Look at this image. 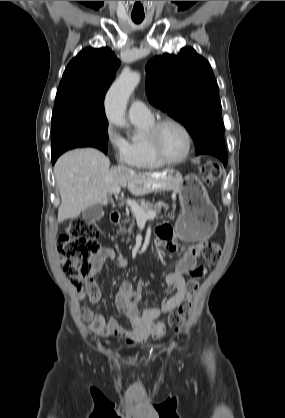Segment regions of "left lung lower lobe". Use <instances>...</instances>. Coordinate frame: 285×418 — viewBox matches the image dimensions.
<instances>
[{
  "label": "left lung lower lobe",
  "mask_w": 285,
  "mask_h": 418,
  "mask_svg": "<svg viewBox=\"0 0 285 418\" xmlns=\"http://www.w3.org/2000/svg\"><path fill=\"white\" fill-rule=\"evenodd\" d=\"M220 155H221V152H220V153H217V152H216V153L214 154V156H215V157H217V158H218V156H220ZM224 165H226V164H224Z\"/></svg>",
  "instance_id": "0a47b994"
}]
</instances>
